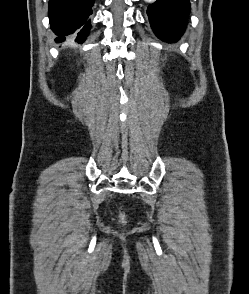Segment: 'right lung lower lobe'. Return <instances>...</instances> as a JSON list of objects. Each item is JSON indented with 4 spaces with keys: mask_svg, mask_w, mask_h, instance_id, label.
<instances>
[{
    "mask_svg": "<svg viewBox=\"0 0 249 294\" xmlns=\"http://www.w3.org/2000/svg\"><path fill=\"white\" fill-rule=\"evenodd\" d=\"M94 0H49L51 29L56 42L73 40L83 43L90 29L89 17Z\"/></svg>",
    "mask_w": 249,
    "mask_h": 294,
    "instance_id": "right-lung-lower-lobe-1",
    "label": "right lung lower lobe"
}]
</instances>
